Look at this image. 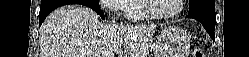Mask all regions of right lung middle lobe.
<instances>
[{"label":"right lung middle lobe","instance_id":"right-lung-middle-lobe-1","mask_svg":"<svg viewBox=\"0 0 249 57\" xmlns=\"http://www.w3.org/2000/svg\"><path fill=\"white\" fill-rule=\"evenodd\" d=\"M86 4L91 5L92 7L99 8V1L98 0H83Z\"/></svg>","mask_w":249,"mask_h":57}]
</instances>
